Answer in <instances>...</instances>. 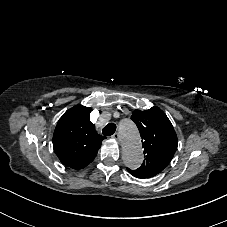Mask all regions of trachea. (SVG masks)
<instances>
[{"instance_id":"1","label":"trachea","mask_w":227,"mask_h":227,"mask_svg":"<svg viewBox=\"0 0 227 227\" xmlns=\"http://www.w3.org/2000/svg\"><path fill=\"white\" fill-rule=\"evenodd\" d=\"M115 131H116V125L114 123H109L103 128L102 133L105 136H111L114 134Z\"/></svg>"}]
</instances>
